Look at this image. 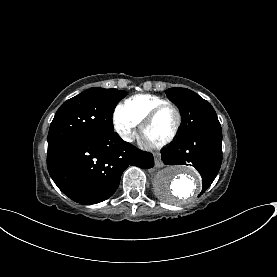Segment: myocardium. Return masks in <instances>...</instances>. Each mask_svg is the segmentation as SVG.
Wrapping results in <instances>:
<instances>
[{"label": "myocardium", "mask_w": 277, "mask_h": 277, "mask_svg": "<svg viewBox=\"0 0 277 277\" xmlns=\"http://www.w3.org/2000/svg\"><path fill=\"white\" fill-rule=\"evenodd\" d=\"M173 108L176 112V116H177V121L176 124L172 130V132L170 133V135L168 137H166L164 140L157 142V143H153V146L155 147H161L164 146L168 143H170L171 141L174 140V138L177 136L180 127L182 125V113L181 110L179 109V107L177 105H175L174 103L171 102H165L162 103L156 107H154L145 117V119L143 120L141 127H140V131L141 134L144 135L145 130L156 120V118L159 116V114L166 108Z\"/></svg>", "instance_id": "f54148a6"}]
</instances>
